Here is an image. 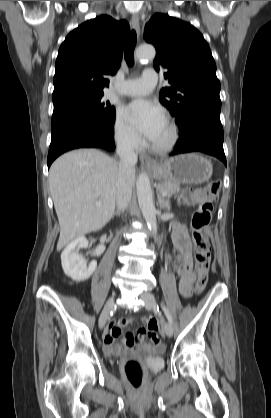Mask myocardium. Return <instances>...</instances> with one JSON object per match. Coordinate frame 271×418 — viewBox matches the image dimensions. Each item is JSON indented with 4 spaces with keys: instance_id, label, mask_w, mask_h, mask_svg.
Returning <instances> with one entry per match:
<instances>
[{
    "instance_id": "f54148a6",
    "label": "myocardium",
    "mask_w": 271,
    "mask_h": 418,
    "mask_svg": "<svg viewBox=\"0 0 271 418\" xmlns=\"http://www.w3.org/2000/svg\"><path fill=\"white\" fill-rule=\"evenodd\" d=\"M166 123L170 129L169 139L164 144H156L152 142L150 146L151 150L158 154L170 152L176 145L179 138V131L176 123L171 119H167Z\"/></svg>"
}]
</instances>
